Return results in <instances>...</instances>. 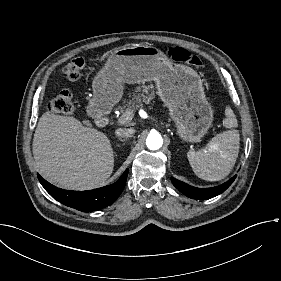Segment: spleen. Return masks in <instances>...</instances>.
Instances as JSON below:
<instances>
[{
    "label": "spleen",
    "mask_w": 281,
    "mask_h": 281,
    "mask_svg": "<svg viewBox=\"0 0 281 281\" xmlns=\"http://www.w3.org/2000/svg\"><path fill=\"white\" fill-rule=\"evenodd\" d=\"M226 118L223 126L238 127V122L230 107L225 109ZM240 134L238 130H228L217 134L199 151L190 150L188 161L194 173L206 181H219L229 175L233 169L239 153Z\"/></svg>",
    "instance_id": "obj_1"
}]
</instances>
